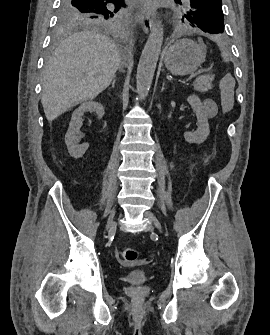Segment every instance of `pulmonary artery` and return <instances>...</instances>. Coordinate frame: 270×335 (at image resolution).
Here are the masks:
<instances>
[{"label": "pulmonary artery", "instance_id": "e3ab8cb5", "mask_svg": "<svg viewBox=\"0 0 270 335\" xmlns=\"http://www.w3.org/2000/svg\"><path fill=\"white\" fill-rule=\"evenodd\" d=\"M183 3H184L185 5H188V4L190 3V0H183Z\"/></svg>", "mask_w": 270, "mask_h": 335}]
</instances>
